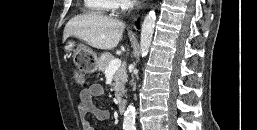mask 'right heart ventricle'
<instances>
[{"instance_id":"right-heart-ventricle-1","label":"right heart ventricle","mask_w":257,"mask_h":130,"mask_svg":"<svg viewBox=\"0 0 257 130\" xmlns=\"http://www.w3.org/2000/svg\"><path fill=\"white\" fill-rule=\"evenodd\" d=\"M86 9L95 14H109L117 7V0H84Z\"/></svg>"}]
</instances>
